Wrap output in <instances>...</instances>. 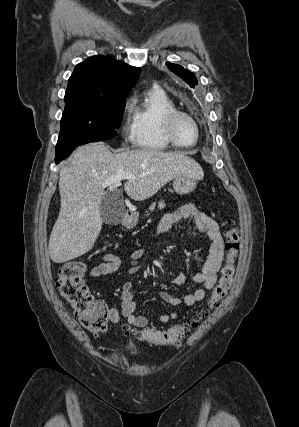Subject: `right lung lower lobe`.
Wrapping results in <instances>:
<instances>
[{
	"label": "right lung lower lobe",
	"mask_w": 299,
	"mask_h": 427,
	"mask_svg": "<svg viewBox=\"0 0 299 427\" xmlns=\"http://www.w3.org/2000/svg\"><path fill=\"white\" fill-rule=\"evenodd\" d=\"M89 142H79V143H75L71 146L62 148L60 150H56V156H55V163L58 164L59 162H61L62 160H64L65 158H67L69 156V154L78 146L86 144Z\"/></svg>",
	"instance_id": "98d812e1"
}]
</instances>
